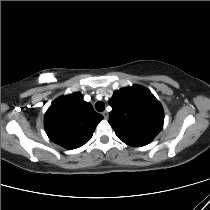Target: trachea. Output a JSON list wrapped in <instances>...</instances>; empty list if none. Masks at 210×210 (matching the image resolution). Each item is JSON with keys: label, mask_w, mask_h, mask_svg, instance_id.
Listing matches in <instances>:
<instances>
[{"label": "trachea", "mask_w": 210, "mask_h": 210, "mask_svg": "<svg viewBox=\"0 0 210 210\" xmlns=\"http://www.w3.org/2000/svg\"><path fill=\"white\" fill-rule=\"evenodd\" d=\"M95 109H96L97 111H99V112L104 111V109H105V104H104V102H102V101L96 102V104H95Z\"/></svg>", "instance_id": "1"}]
</instances>
